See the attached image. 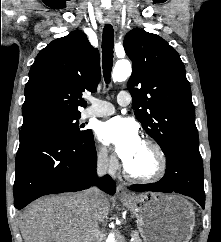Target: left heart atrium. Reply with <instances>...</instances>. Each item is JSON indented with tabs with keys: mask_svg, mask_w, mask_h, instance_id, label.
I'll list each match as a JSON object with an SVG mask.
<instances>
[{
	"mask_svg": "<svg viewBox=\"0 0 221 242\" xmlns=\"http://www.w3.org/2000/svg\"><path fill=\"white\" fill-rule=\"evenodd\" d=\"M97 136L103 144L113 147L124 163L137 152L142 143L135 123L120 117L101 123Z\"/></svg>",
	"mask_w": 221,
	"mask_h": 242,
	"instance_id": "1",
	"label": "left heart atrium"
}]
</instances>
